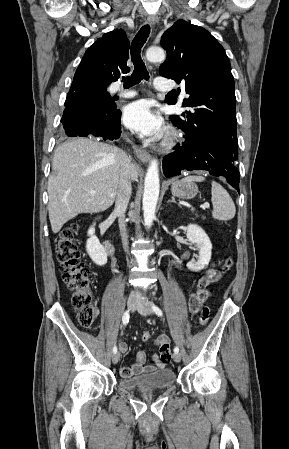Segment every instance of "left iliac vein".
Masks as SVG:
<instances>
[{
    "mask_svg": "<svg viewBox=\"0 0 289 449\" xmlns=\"http://www.w3.org/2000/svg\"><path fill=\"white\" fill-rule=\"evenodd\" d=\"M136 308L138 312L143 316L150 315L153 312L151 304L144 299L137 302ZM173 360L176 363H179L181 361V355L179 353H174Z\"/></svg>",
    "mask_w": 289,
    "mask_h": 449,
    "instance_id": "left-iliac-vein-1",
    "label": "left iliac vein"
}]
</instances>
